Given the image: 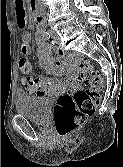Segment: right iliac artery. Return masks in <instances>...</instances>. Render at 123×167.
<instances>
[{
	"instance_id": "1",
	"label": "right iliac artery",
	"mask_w": 123,
	"mask_h": 167,
	"mask_svg": "<svg viewBox=\"0 0 123 167\" xmlns=\"http://www.w3.org/2000/svg\"><path fill=\"white\" fill-rule=\"evenodd\" d=\"M49 38H50L49 32H44V33L42 34V39H43V40H49Z\"/></svg>"
}]
</instances>
